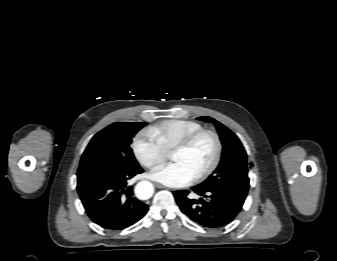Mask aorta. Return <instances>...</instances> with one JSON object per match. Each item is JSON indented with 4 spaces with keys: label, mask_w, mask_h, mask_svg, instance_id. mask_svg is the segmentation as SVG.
Here are the masks:
<instances>
[{
    "label": "aorta",
    "mask_w": 337,
    "mask_h": 261,
    "mask_svg": "<svg viewBox=\"0 0 337 261\" xmlns=\"http://www.w3.org/2000/svg\"><path fill=\"white\" fill-rule=\"evenodd\" d=\"M154 192L153 185L149 181H141L135 187V194L139 199L147 200Z\"/></svg>",
    "instance_id": "aorta-1"
}]
</instances>
